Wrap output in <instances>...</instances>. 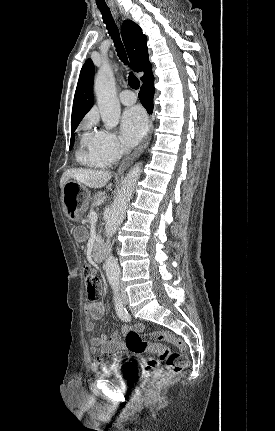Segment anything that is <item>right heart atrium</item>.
<instances>
[{
    "label": "right heart atrium",
    "mask_w": 275,
    "mask_h": 431,
    "mask_svg": "<svg viewBox=\"0 0 275 431\" xmlns=\"http://www.w3.org/2000/svg\"><path fill=\"white\" fill-rule=\"evenodd\" d=\"M90 153L107 163L117 161L124 153V147L113 131L96 129L84 138Z\"/></svg>",
    "instance_id": "d8ad5b80"
}]
</instances>
